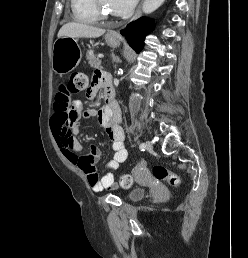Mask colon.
Instances as JSON below:
<instances>
[{"label": "colon", "instance_id": "obj_1", "mask_svg": "<svg viewBox=\"0 0 248 258\" xmlns=\"http://www.w3.org/2000/svg\"><path fill=\"white\" fill-rule=\"evenodd\" d=\"M89 87V79L85 73L76 72L72 75L70 84H69V92L72 95H78L81 92L87 90ZM152 175L156 180L166 181L171 186L177 187L180 184L179 177L169 170L167 167L156 164L152 167ZM120 184L124 188H129L133 183V177L128 174H120L118 176Z\"/></svg>", "mask_w": 248, "mask_h": 258}]
</instances>
